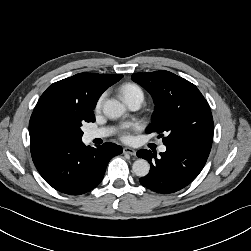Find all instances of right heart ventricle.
<instances>
[{"mask_svg":"<svg viewBox=\"0 0 251 251\" xmlns=\"http://www.w3.org/2000/svg\"><path fill=\"white\" fill-rule=\"evenodd\" d=\"M120 93L127 103L134 100L144 99V92L142 88L135 83H125L120 87Z\"/></svg>","mask_w":251,"mask_h":251,"instance_id":"right-heart-ventricle-1","label":"right heart ventricle"}]
</instances>
